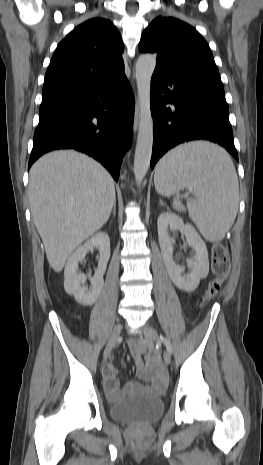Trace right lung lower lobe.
Instances as JSON below:
<instances>
[{"label": "right lung lower lobe", "mask_w": 263, "mask_h": 465, "mask_svg": "<svg viewBox=\"0 0 263 465\" xmlns=\"http://www.w3.org/2000/svg\"><path fill=\"white\" fill-rule=\"evenodd\" d=\"M133 119L134 96L125 75L106 85L42 98L28 168L44 153L75 149L101 162L118 181Z\"/></svg>", "instance_id": "1"}]
</instances>
